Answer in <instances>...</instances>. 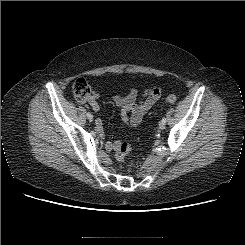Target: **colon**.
<instances>
[{
  "label": "colon",
  "instance_id": "5ec220e1",
  "mask_svg": "<svg viewBox=\"0 0 245 245\" xmlns=\"http://www.w3.org/2000/svg\"><path fill=\"white\" fill-rule=\"evenodd\" d=\"M72 93L74 97L79 101L87 100L91 95V87L88 81L84 78H77L72 85ZM177 97L175 95H169L165 102L172 104L176 102ZM131 152V145L128 142L118 143L116 147V158L117 160L127 166H133L132 161H127V156Z\"/></svg>",
  "mask_w": 245,
  "mask_h": 245
}]
</instances>
